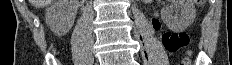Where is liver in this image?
I'll list each match as a JSON object with an SVG mask.
<instances>
[{"label":"liver","instance_id":"1","mask_svg":"<svg viewBox=\"0 0 232 65\" xmlns=\"http://www.w3.org/2000/svg\"><path fill=\"white\" fill-rule=\"evenodd\" d=\"M55 0H30V3L37 8H42L51 5Z\"/></svg>","mask_w":232,"mask_h":65}]
</instances>
